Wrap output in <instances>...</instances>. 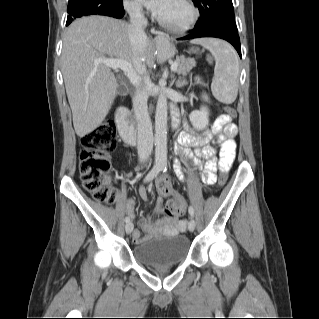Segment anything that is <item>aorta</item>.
Segmentation results:
<instances>
[{
  "label": "aorta",
  "mask_w": 319,
  "mask_h": 319,
  "mask_svg": "<svg viewBox=\"0 0 319 319\" xmlns=\"http://www.w3.org/2000/svg\"><path fill=\"white\" fill-rule=\"evenodd\" d=\"M155 164H167V97L161 94L158 98L155 113Z\"/></svg>",
  "instance_id": "obj_1"
}]
</instances>
